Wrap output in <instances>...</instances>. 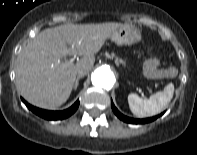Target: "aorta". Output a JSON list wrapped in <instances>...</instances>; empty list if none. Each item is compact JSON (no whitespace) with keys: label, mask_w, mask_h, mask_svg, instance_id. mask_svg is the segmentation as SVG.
Returning a JSON list of instances; mask_svg holds the SVG:
<instances>
[{"label":"aorta","mask_w":197,"mask_h":155,"mask_svg":"<svg viewBox=\"0 0 197 155\" xmlns=\"http://www.w3.org/2000/svg\"><path fill=\"white\" fill-rule=\"evenodd\" d=\"M92 83L96 87L110 90L114 84V75L110 68L106 66L97 68L92 75Z\"/></svg>","instance_id":"obj_1"}]
</instances>
